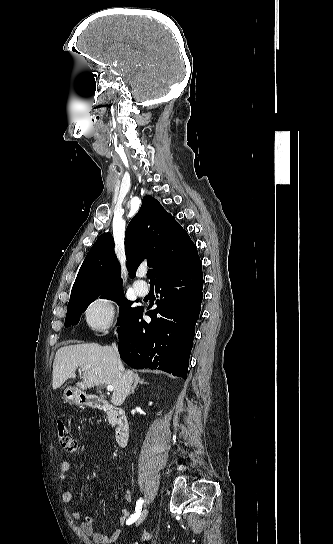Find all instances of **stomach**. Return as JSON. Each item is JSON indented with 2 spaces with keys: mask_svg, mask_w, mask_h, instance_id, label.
<instances>
[{
  "mask_svg": "<svg viewBox=\"0 0 333 544\" xmlns=\"http://www.w3.org/2000/svg\"><path fill=\"white\" fill-rule=\"evenodd\" d=\"M64 399L71 405H79L83 404L85 395L77 388L68 387L64 390Z\"/></svg>",
  "mask_w": 333,
  "mask_h": 544,
  "instance_id": "0dacf381",
  "label": "stomach"
}]
</instances>
